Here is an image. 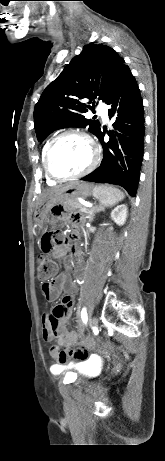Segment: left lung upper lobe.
I'll return each mask as SVG.
<instances>
[{
  "mask_svg": "<svg viewBox=\"0 0 165 461\" xmlns=\"http://www.w3.org/2000/svg\"><path fill=\"white\" fill-rule=\"evenodd\" d=\"M129 67L107 45L91 43L83 47L61 74L43 91L34 108V125L38 141L54 129L89 126L95 136L101 132L97 120L83 113L92 107L84 102L98 98L106 103ZM95 106V101L92 103Z\"/></svg>",
  "mask_w": 165,
  "mask_h": 461,
  "instance_id": "left-lung-upper-lobe-1",
  "label": "left lung upper lobe"
}]
</instances>
